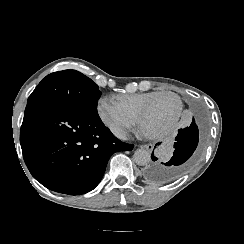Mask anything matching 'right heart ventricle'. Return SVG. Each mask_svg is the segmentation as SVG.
<instances>
[{
  "label": "right heart ventricle",
  "mask_w": 244,
  "mask_h": 244,
  "mask_svg": "<svg viewBox=\"0 0 244 244\" xmlns=\"http://www.w3.org/2000/svg\"><path fill=\"white\" fill-rule=\"evenodd\" d=\"M156 94H161V92H159V91L148 92V93L140 94L138 96L136 94H131L129 97L111 95L109 97V100H110V102H112L113 104H116V105L121 106V103L126 102L128 105L132 106L137 114V122H141L139 115L141 113L142 107L145 106L148 101L153 99V96ZM150 108H152V106ZM145 117H146V115L144 116V118Z\"/></svg>",
  "instance_id": "1"
}]
</instances>
